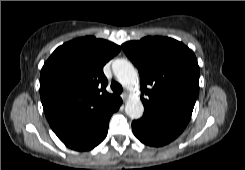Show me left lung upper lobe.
I'll return each instance as SVG.
<instances>
[{
  "mask_svg": "<svg viewBox=\"0 0 245 170\" xmlns=\"http://www.w3.org/2000/svg\"><path fill=\"white\" fill-rule=\"evenodd\" d=\"M140 74L144 108L189 121L199 91V66L192 50L167 37H145L122 45ZM152 86V88H151Z\"/></svg>",
  "mask_w": 245,
  "mask_h": 170,
  "instance_id": "obj_1",
  "label": "left lung upper lobe"
}]
</instances>
